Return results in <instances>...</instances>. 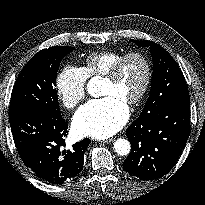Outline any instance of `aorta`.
<instances>
[{
    "instance_id": "762f6f07",
    "label": "aorta",
    "mask_w": 205,
    "mask_h": 205,
    "mask_svg": "<svg viewBox=\"0 0 205 205\" xmlns=\"http://www.w3.org/2000/svg\"><path fill=\"white\" fill-rule=\"evenodd\" d=\"M87 89L91 95H95V92L92 88V83L88 84ZM114 150L118 155L126 156L130 153L131 150L130 142L124 138H119L114 143Z\"/></svg>"
}]
</instances>
